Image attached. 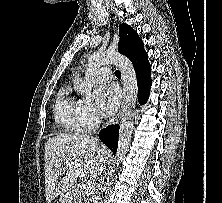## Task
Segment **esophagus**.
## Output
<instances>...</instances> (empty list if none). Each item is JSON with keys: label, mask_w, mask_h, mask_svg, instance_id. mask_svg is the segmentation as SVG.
I'll use <instances>...</instances> for the list:
<instances>
[{"label": "esophagus", "mask_w": 222, "mask_h": 203, "mask_svg": "<svg viewBox=\"0 0 222 203\" xmlns=\"http://www.w3.org/2000/svg\"><path fill=\"white\" fill-rule=\"evenodd\" d=\"M122 113H123V106H122V104H121L118 112L112 117L111 123H112V124L118 123L119 120H120V118H121V116H122Z\"/></svg>", "instance_id": "obj_1"}]
</instances>
